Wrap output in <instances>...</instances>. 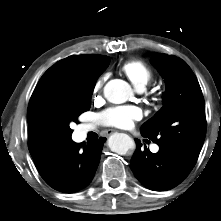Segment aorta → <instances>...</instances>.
<instances>
[{
  "label": "aorta",
  "mask_w": 221,
  "mask_h": 221,
  "mask_svg": "<svg viewBox=\"0 0 221 221\" xmlns=\"http://www.w3.org/2000/svg\"><path fill=\"white\" fill-rule=\"evenodd\" d=\"M104 96L111 103L121 104L132 96V89L126 81L113 79L105 85ZM109 146L113 152L125 155L129 150L134 149L135 144L128 135L116 133L110 137Z\"/></svg>",
  "instance_id": "762f6f07"
}]
</instances>
